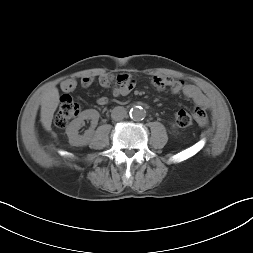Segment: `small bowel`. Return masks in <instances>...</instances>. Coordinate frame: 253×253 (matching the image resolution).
Masks as SVG:
<instances>
[{
    "label": "small bowel",
    "mask_w": 253,
    "mask_h": 253,
    "mask_svg": "<svg viewBox=\"0 0 253 253\" xmlns=\"http://www.w3.org/2000/svg\"><path fill=\"white\" fill-rule=\"evenodd\" d=\"M95 78L92 76H84L80 80L82 87H90ZM98 83L104 88L113 86V94L115 96H124L128 94L134 86V80L127 74H119L114 76L112 74H102L98 77ZM152 84L158 90H165L167 88L173 94H183L187 99L193 101L196 105L194 109V116L199 125L205 126L207 124V117L205 110L209 107L208 99L201 93V91L194 85L185 84L180 80H176L167 76H155L152 79ZM78 85L75 79H66L61 83V89L64 92H72ZM109 103V99L101 96L97 99V104L105 106Z\"/></svg>",
    "instance_id": "c3829d8e"
}]
</instances>
